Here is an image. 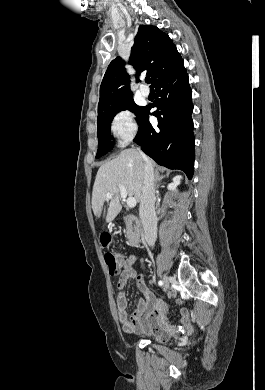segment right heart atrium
Masks as SVG:
<instances>
[{"label":"right heart atrium","mask_w":265,"mask_h":390,"mask_svg":"<svg viewBox=\"0 0 265 390\" xmlns=\"http://www.w3.org/2000/svg\"><path fill=\"white\" fill-rule=\"evenodd\" d=\"M110 131L121 145L131 141L138 131L135 114L129 109L116 112L110 122Z\"/></svg>","instance_id":"obj_1"}]
</instances>
